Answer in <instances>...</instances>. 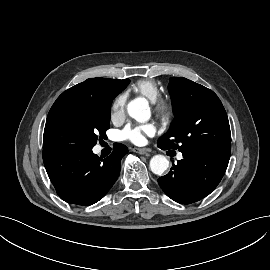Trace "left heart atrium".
<instances>
[{"instance_id":"1","label":"left heart atrium","mask_w":270,"mask_h":270,"mask_svg":"<svg viewBox=\"0 0 270 270\" xmlns=\"http://www.w3.org/2000/svg\"><path fill=\"white\" fill-rule=\"evenodd\" d=\"M156 132L154 123H145L136 126H128L122 131V137L134 144H141L145 135H153Z\"/></svg>"}]
</instances>
